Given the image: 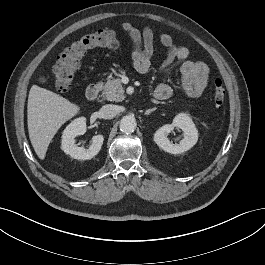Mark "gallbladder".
Listing matches in <instances>:
<instances>
[{
	"label": "gallbladder",
	"mask_w": 265,
	"mask_h": 265,
	"mask_svg": "<svg viewBox=\"0 0 265 265\" xmlns=\"http://www.w3.org/2000/svg\"><path fill=\"white\" fill-rule=\"evenodd\" d=\"M39 82L42 83V84L46 83L47 82V78L42 76V77L39 78Z\"/></svg>",
	"instance_id": "gallbladder-1"
}]
</instances>
